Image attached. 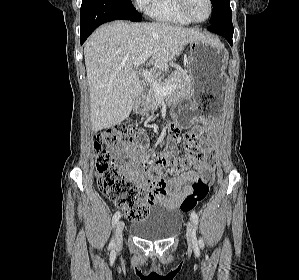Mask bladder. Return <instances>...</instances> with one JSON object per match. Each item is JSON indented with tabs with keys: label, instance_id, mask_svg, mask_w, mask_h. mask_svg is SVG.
I'll use <instances>...</instances> for the list:
<instances>
[{
	"label": "bladder",
	"instance_id": "obj_1",
	"mask_svg": "<svg viewBox=\"0 0 299 280\" xmlns=\"http://www.w3.org/2000/svg\"><path fill=\"white\" fill-rule=\"evenodd\" d=\"M182 226V214L174 209H157L131 226L132 233L150 241L165 240L177 234Z\"/></svg>",
	"mask_w": 299,
	"mask_h": 280
}]
</instances>
